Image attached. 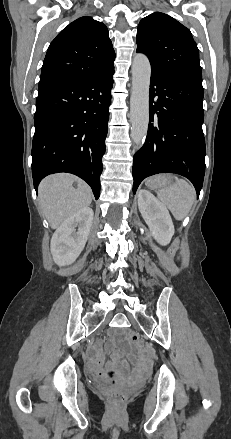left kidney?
I'll return each instance as SVG.
<instances>
[{
  "label": "left kidney",
  "instance_id": "1",
  "mask_svg": "<svg viewBox=\"0 0 231 439\" xmlns=\"http://www.w3.org/2000/svg\"><path fill=\"white\" fill-rule=\"evenodd\" d=\"M138 207L154 239L160 245L170 243L174 225L166 207L147 190L138 192Z\"/></svg>",
  "mask_w": 231,
  "mask_h": 439
}]
</instances>
